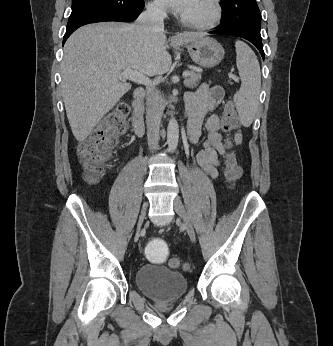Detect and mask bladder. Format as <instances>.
<instances>
[{
    "instance_id": "31cf9c89",
    "label": "bladder",
    "mask_w": 333,
    "mask_h": 346,
    "mask_svg": "<svg viewBox=\"0 0 333 346\" xmlns=\"http://www.w3.org/2000/svg\"><path fill=\"white\" fill-rule=\"evenodd\" d=\"M135 282L144 295L158 302L177 300L188 288L187 279L182 273L154 264L142 265L135 274Z\"/></svg>"
}]
</instances>
